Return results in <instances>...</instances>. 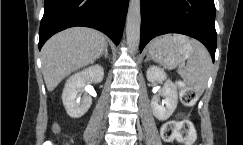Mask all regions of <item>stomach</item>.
I'll return each instance as SVG.
<instances>
[{
  "mask_svg": "<svg viewBox=\"0 0 243 145\" xmlns=\"http://www.w3.org/2000/svg\"><path fill=\"white\" fill-rule=\"evenodd\" d=\"M192 53L191 40L181 35H166L149 46V56L166 68L181 65Z\"/></svg>",
  "mask_w": 243,
  "mask_h": 145,
  "instance_id": "1",
  "label": "stomach"
}]
</instances>
